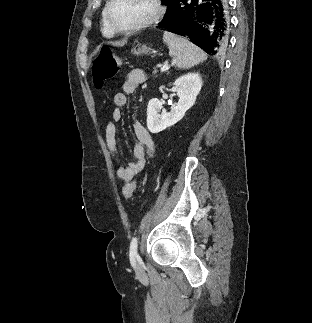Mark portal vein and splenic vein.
<instances>
[{
  "label": "portal vein and splenic vein",
  "mask_w": 312,
  "mask_h": 323,
  "mask_svg": "<svg viewBox=\"0 0 312 323\" xmlns=\"http://www.w3.org/2000/svg\"><path fill=\"white\" fill-rule=\"evenodd\" d=\"M166 70H169L168 62H165L163 68H161V72H166Z\"/></svg>",
  "instance_id": "18ae733b"
}]
</instances>
